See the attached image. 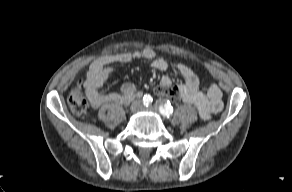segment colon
I'll return each instance as SVG.
<instances>
[{"mask_svg":"<svg viewBox=\"0 0 292 192\" xmlns=\"http://www.w3.org/2000/svg\"><path fill=\"white\" fill-rule=\"evenodd\" d=\"M155 91L159 96L168 98L172 101L178 100L177 93L173 88L158 86ZM68 104L71 111L76 115H81L86 111L88 102L82 90L81 84L70 92L68 96Z\"/></svg>","mask_w":292,"mask_h":192,"instance_id":"colon-1","label":"colon"}]
</instances>
